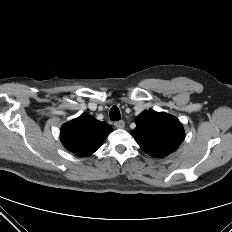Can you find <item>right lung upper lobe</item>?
<instances>
[{
    "instance_id": "cb5924a9",
    "label": "right lung upper lobe",
    "mask_w": 232,
    "mask_h": 232,
    "mask_svg": "<svg viewBox=\"0 0 232 232\" xmlns=\"http://www.w3.org/2000/svg\"><path fill=\"white\" fill-rule=\"evenodd\" d=\"M111 132L112 128L107 123L83 114L64 124L60 137L69 151L85 157L93 154Z\"/></svg>"
}]
</instances>
